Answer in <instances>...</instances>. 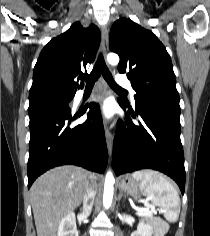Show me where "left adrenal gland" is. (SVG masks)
Listing matches in <instances>:
<instances>
[{
  "label": "left adrenal gland",
  "instance_id": "a2214340",
  "mask_svg": "<svg viewBox=\"0 0 210 236\" xmlns=\"http://www.w3.org/2000/svg\"><path fill=\"white\" fill-rule=\"evenodd\" d=\"M122 196H123V192L122 191H120V193H119V200L122 198Z\"/></svg>",
  "mask_w": 210,
  "mask_h": 236
}]
</instances>
